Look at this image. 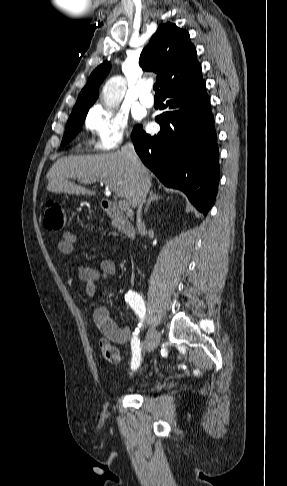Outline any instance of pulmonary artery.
I'll return each instance as SVG.
<instances>
[{
  "label": "pulmonary artery",
  "instance_id": "pulmonary-artery-1",
  "mask_svg": "<svg viewBox=\"0 0 287 486\" xmlns=\"http://www.w3.org/2000/svg\"><path fill=\"white\" fill-rule=\"evenodd\" d=\"M151 84L146 83L142 86L140 95H139V100L142 105L145 107H152L154 104V98L151 94Z\"/></svg>",
  "mask_w": 287,
  "mask_h": 486
}]
</instances>
